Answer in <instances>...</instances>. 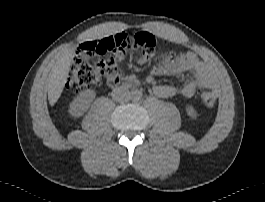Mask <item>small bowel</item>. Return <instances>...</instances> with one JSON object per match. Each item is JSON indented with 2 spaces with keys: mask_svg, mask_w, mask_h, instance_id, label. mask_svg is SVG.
<instances>
[{
  "mask_svg": "<svg viewBox=\"0 0 265 202\" xmlns=\"http://www.w3.org/2000/svg\"><path fill=\"white\" fill-rule=\"evenodd\" d=\"M101 38H93L83 42L77 49L78 55L87 57L102 54L98 48V40ZM138 62L144 63L142 59ZM184 72L189 74V79L186 82L179 86L157 85L154 87V93L160 98H173L178 95L190 98L198 87L213 83L208 67L191 52L182 55L164 52L161 64L150 70L152 75H177ZM117 81L118 79H113L111 84H115Z\"/></svg>",
  "mask_w": 265,
  "mask_h": 202,
  "instance_id": "small-bowel-1",
  "label": "small bowel"
}]
</instances>
